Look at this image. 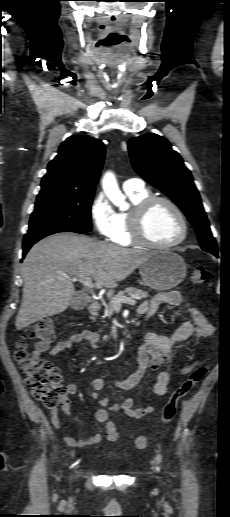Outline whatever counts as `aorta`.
<instances>
[{
  "mask_svg": "<svg viewBox=\"0 0 230 517\" xmlns=\"http://www.w3.org/2000/svg\"><path fill=\"white\" fill-rule=\"evenodd\" d=\"M102 187L109 200L120 209L126 208L125 198L121 193L116 177L112 172H106L102 179Z\"/></svg>",
  "mask_w": 230,
  "mask_h": 517,
  "instance_id": "obj_1",
  "label": "aorta"
}]
</instances>
